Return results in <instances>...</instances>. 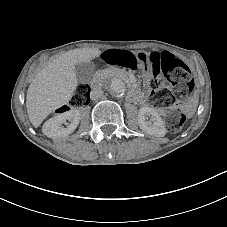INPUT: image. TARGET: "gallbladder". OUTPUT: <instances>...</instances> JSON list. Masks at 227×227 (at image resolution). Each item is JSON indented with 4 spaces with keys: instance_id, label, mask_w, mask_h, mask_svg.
<instances>
[{
    "instance_id": "1",
    "label": "gallbladder",
    "mask_w": 227,
    "mask_h": 227,
    "mask_svg": "<svg viewBox=\"0 0 227 227\" xmlns=\"http://www.w3.org/2000/svg\"><path fill=\"white\" fill-rule=\"evenodd\" d=\"M75 72L79 83L89 84L95 74V64L93 62L77 64Z\"/></svg>"
}]
</instances>
